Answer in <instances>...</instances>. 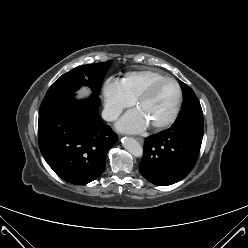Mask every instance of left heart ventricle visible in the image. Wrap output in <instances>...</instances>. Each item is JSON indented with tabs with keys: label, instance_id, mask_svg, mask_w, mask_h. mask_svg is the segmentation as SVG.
<instances>
[{
	"label": "left heart ventricle",
	"instance_id": "b2bd125f",
	"mask_svg": "<svg viewBox=\"0 0 248 248\" xmlns=\"http://www.w3.org/2000/svg\"><path fill=\"white\" fill-rule=\"evenodd\" d=\"M178 91L172 82L159 84L150 96L141 102L138 108L142 111L148 122L156 123L167 118L175 108Z\"/></svg>",
	"mask_w": 248,
	"mask_h": 248
}]
</instances>
